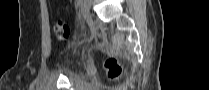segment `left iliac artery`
I'll use <instances>...</instances> for the list:
<instances>
[{
    "label": "left iliac artery",
    "mask_w": 209,
    "mask_h": 90,
    "mask_svg": "<svg viewBox=\"0 0 209 90\" xmlns=\"http://www.w3.org/2000/svg\"><path fill=\"white\" fill-rule=\"evenodd\" d=\"M77 5H79L80 3H82V0H77Z\"/></svg>",
    "instance_id": "44dca946"
}]
</instances>
